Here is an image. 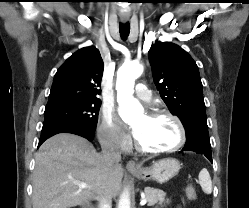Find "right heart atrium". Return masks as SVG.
I'll list each match as a JSON object with an SVG mask.
<instances>
[{"mask_svg":"<svg viewBox=\"0 0 249 208\" xmlns=\"http://www.w3.org/2000/svg\"><path fill=\"white\" fill-rule=\"evenodd\" d=\"M98 136L103 144L114 148L125 150L130 145V139L120 122L114 113L107 109L102 110Z\"/></svg>","mask_w":249,"mask_h":208,"instance_id":"d8ad5b80","label":"right heart atrium"}]
</instances>
